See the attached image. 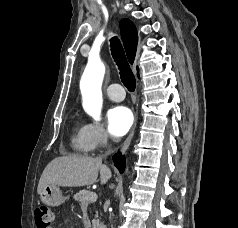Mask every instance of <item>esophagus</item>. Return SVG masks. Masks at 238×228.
Listing matches in <instances>:
<instances>
[{
  "label": "esophagus",
  "instance_id": "34e87169",
  "mask_svg": "<svg viewBox=\"0 0 238 228\" xmlns=\"http://www.w3.org/2000/svg\"><path fill=\"white\" fill-rule=\"evenodd\" d=\"M136 125H137V121H135V123H134V125H133V127L131 129L130 134L128 135L127 139L124 141V143L122 145V148H121L122 152H125L128 149V147H129V145L131 143V140H132V138L134 136Z\"/></svg>",
  "mask_w": 238,
  "mask_h": 228
}]
</instances>
